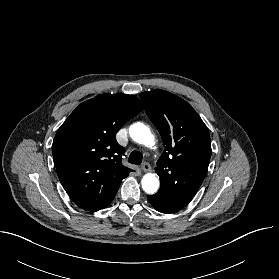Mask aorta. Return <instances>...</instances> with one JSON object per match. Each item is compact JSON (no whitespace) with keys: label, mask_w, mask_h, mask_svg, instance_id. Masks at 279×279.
Returning a JSON list of instances; mask_svg holds the SVG:
<instances>
[{"label":"aorta","mask_w":279,"mask_h":279,"mask_svg":"<svg viewBox=\"0 0 279 279\" xmlns=\"http://www.w3.org/2000/svg\"><path fill=\"white\" fill-rule=\"evenodd\" d=\"M130 137L137 143L150 146L154 137L150 129L143 123H135L129 128ZM143 190L148 194H154L159 188V179L155 174H145L141 180Z\"/></svg>","instance_id":"762f6f07"}]
</instances>
